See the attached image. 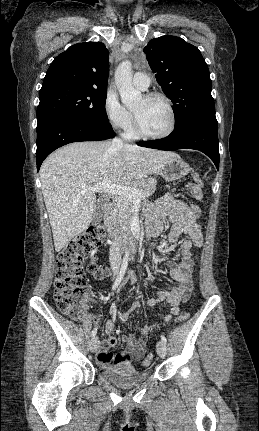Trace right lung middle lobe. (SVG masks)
<instances>
[{
	"label": "right lung middle lobe",
	"mask_w": 259,
	"mask_h": 431,
	"mask_svg": "<svg viewBox=\"0 0 259 431\" xmlns=\"http://www.w3.org/2000/svg\"><path fill=\"white\" fill-rule=\"evenodd\" d=\"M37 121L57 115H73L97 122H108L105 111L106 90L71 85H52L40 92Z\"/></svg>",
	"instance_id": "right-lung-middle-lobe-1"
}]
</instances>
